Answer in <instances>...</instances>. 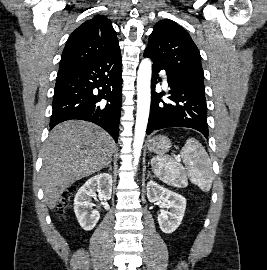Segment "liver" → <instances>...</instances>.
<instances>
[{
    "label": "liver",
    "mask_w": 267,
    "mask_h": 270,
    "mask_svg": "<svg viewBox=\"0 0 267 270\" xmlns=\"http://www.w3.org/2000/svg\"><path fill=\"white\" fill-rule=\"evenodd\" d=\"M114 147L111 136L92 123L69 120L57 125L42 155L41 183L46 205L54 209L69 186L106 167Z\"/></svg>",
    "instance_id": "obj_1"
}]
</instances>
